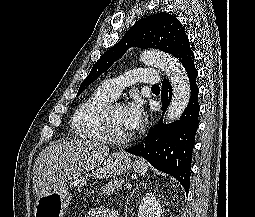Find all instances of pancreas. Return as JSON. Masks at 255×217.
<instances>
[{
    "instance_id": "pancreas-1",
    "label": "pancreas",
    "mask_w": 255,
    "mask_h": 217,
    "mask_svg": "<svg viewBox=\"0 0 255 217\" xmlns=\"http://www.w3.org/2000/svg\"><path fill=\"white\" fill-rule=\"evenodd\" d=\"M123 181L122 180H113L108 182L107 185L103 186L101 189V195L109 196L113 194L115 191L122 188Z\"/></svg>"
}]
</instances>
